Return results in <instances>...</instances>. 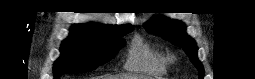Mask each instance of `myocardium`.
Returning a JSON list of instances; mask_svg holds the SVG:
<instances>
[{
  "label": "myocardium",
  "mask_w": 255,
  "mask_h": 79,
  "mask_svg": "<svg viewBox=\"0 0 255 79\" xmlns=\"http://www.w3.org/2000/svg\"><path fill=\"white\" fill-rule=\"evenodd\" d=\"M168 61H169V62H172V61H173V57H170V58L168 59Z\"/></svg>",
  "instance_id": "myocardium-1"
}]
</instances>
